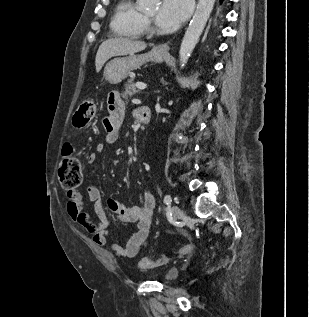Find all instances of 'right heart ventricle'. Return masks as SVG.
<instances>
[{
	"mask_svg": "<svg viewBox=\"0 0 309 317\" xmlns=\"http://www.w3.org/2000/svg\"><path fill=\"white\" fill-rule=\"evenodd\" d=\"M145 16L133 0H120L112 20V29L118 36L136 39L145 29Z\"/></svg>",
	"mask_w": 309,
	"mask_h": 317,
	"instance_id": "right-heart-ventricle-1",
	"label": "right heart ventricle"
}]
</instances>
